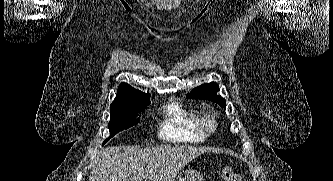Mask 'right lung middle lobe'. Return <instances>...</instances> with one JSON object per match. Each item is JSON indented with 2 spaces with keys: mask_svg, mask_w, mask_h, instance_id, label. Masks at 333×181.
<instances>
[{
  "mask_svg": "<svg viewBox=\"0 0 333 181\" xmlns=\"http://www.w3.org/2000/svg\"><path fill=\"white\" fill-rule=\"evenodd\" d=\"M147 106L148 105L111 112L110 122L108 123L110 136L104 141L103 145L120 131L135 125L139 121L138 116L141 115Z\"/></svg>",
  "mask_w": 333,
  "mask_h": 181,
  "instance_id": "right-lung-middle-lobe-1",
  "label": "right lung middle lobe"
}]
</instances>
